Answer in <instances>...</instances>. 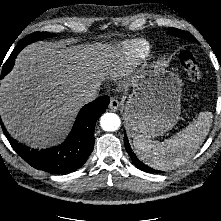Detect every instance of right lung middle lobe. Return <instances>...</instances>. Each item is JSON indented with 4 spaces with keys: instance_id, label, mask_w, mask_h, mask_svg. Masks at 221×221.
<instances>
[{
    "instance_id": "dd1d6c3e",
    "label": "right lung middle lobe",
    "mask_w": 221,
    "mask_h": 221,
    "mask_svg": "<svg viewBox=\"0 0 221 221\" xmlns=\"http://www.w3.org/2000/svg\"><path fill=\"white\" fill-rule=\"evenodd\" d=\"M54 37L55 35L53 34H50L48 32H35V33H32L30 35H28L27 37L24 38V41L27 42L26 45L30 44L31 42H34V41H37V40H41V39H44L46 37ZM8 66H6L7 68ZM6 68L4 70H2V75H6L10 70H8V72H6L5 74H3L6 70Z\"/></svg>"
}]
</instances>
